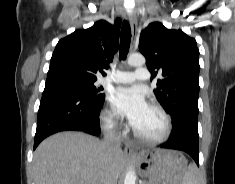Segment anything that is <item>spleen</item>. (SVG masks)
<instances>
[{
  "mask_svg": "<svg viewBox=\"0 0 235 184\" xmlns=\"http://www.w3.org/2000/svg\"><path fill=\"white\" fill-rule=\"evenodd\" d=\"M182 184H197V168L195 164H190L183 176Z\"/></svg>",
  "mask_w": 235,
  "mask_h": 184,
  "instance_id": "obj_1",
  "label": "spleen"
}]
</instances>
